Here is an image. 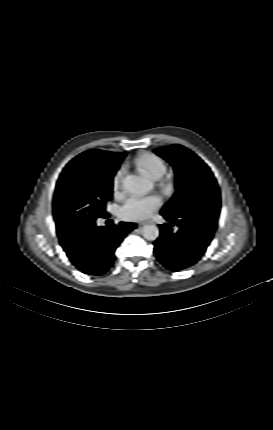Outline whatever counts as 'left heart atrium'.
Masks as SVG:
<instances>
[{"mask_svg": "<svg viewBox=\"0 0 273 430\" xmlns=\"http://www.w3.org/2000/svg\"><path fill=\"white\" fill-rule=\"evenodd\" d=\"M162 202L156 195L147 197H130L119 210V216L124 220L139 221L150 217Z\"/></svg>", "mask_w": 273, "mask_h": 430, "instance_id": "left-heart-atrium-1", "label": "left heart atrium"}]
</instances>
